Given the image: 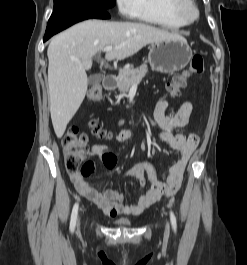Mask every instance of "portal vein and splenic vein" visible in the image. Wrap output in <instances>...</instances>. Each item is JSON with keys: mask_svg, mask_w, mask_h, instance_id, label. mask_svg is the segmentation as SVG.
I'll use <instances>...</instances> for the list:
<instances>
[{"mask_svg": "<svg viewBox=\"0 0 247 265\" xmlns=\"http://www.w3.org/2000/svg\"><path fill=\"white\" fill-rule=\"evenodd\" d=\"M105 52H109V51H112L113 50V47L112 46H106L104 47L103 49Z\"/></svg>", "mask_w": 247, "mask_h": 265, "instance_id": "portal-vein-and-splenic-vein-1", "label": "portal vein and splenic vein"}]
</instances>
